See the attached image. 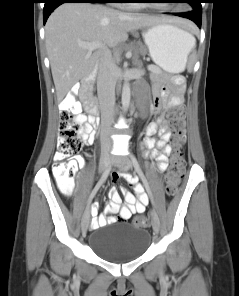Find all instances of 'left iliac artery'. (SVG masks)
Listing matches in <instances>:
<instances>
[{
    "instance_id": "obj_1",
    "label": "left iliac artery",
    "mask_w": 239,
    "mask_h": 296,
    "mask_svg": "<svg viewBox=\"0 0 239 296\" xmlns=\"http://www.w3.org/2000/svg\"><path fill=\"white\" fill-rule=\"evenodd\" d=\"M131 159H132L133 166H134L135 170L137 171L139 176L142 178L143 185H146V193H148L147 197H150L151 204L153 205L155 202L153 201L154 197L152 196V193L150 192V184H147L146 177L143 175L142 171L140 170V166H139L136 158L132 154H131Z\"/></svg>"
}]
</instances>
